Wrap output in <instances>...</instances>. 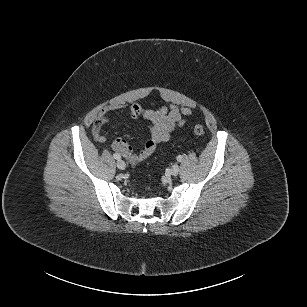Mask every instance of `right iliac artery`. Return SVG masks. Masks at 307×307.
<instances>
[{
	"label": "right iliac artery",
	"mask_w": 307,
	"mask_h": 307,
	"mask_svg": "<svg viewBox=\"0 0 307 307\" xmlns=\"http://www.w3.org/2000/svg\"><path fill=\"white\" fill-rule=\"evenodd\" d=\"M113 157H114L115 159H117V160H119V159L121 158L120 154H118V153H114V154H113Z\"/></svg>",
	"instance_id": "82829eb1"
}]
</instances>
